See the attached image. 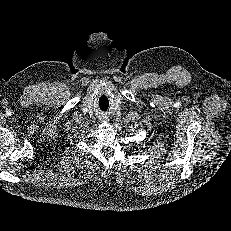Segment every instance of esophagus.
<instances>
[{"label":"esophagus","instance_id":"obj_1","mask_svg":"<svg viewBox=\"0 0 231 231\" xmlns=\"http://www.w3.org/2000/svg\"><path fill=\"white\" fill-rule=\"evenodd\" d=\"M102 121H106V117H102L100 118Z\"/></svg>","mask_w":231,"mask_h":231}]
</instances>
